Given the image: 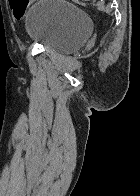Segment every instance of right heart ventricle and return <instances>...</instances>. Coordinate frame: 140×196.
Returning a JSON list of instances; mask_svg holds the SVG:
<instances>
[{"label": "right heart ventricle", "instance_id": "e07e8e85", "mask_svg": "<svg viewBox=\"0 0 140 196\" xmlns=\"http://www.w3.org/2000/svg\"><path fill=\"white\" fill-rule=\"evenodd\" d=\"M0 192H33V191H0Z\"/></svg>", "mask_w": 140, "mask_h": 196}]
</instances>
